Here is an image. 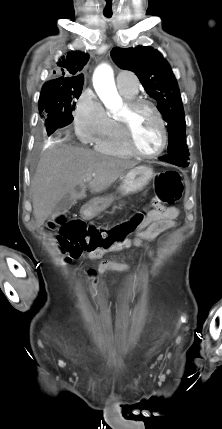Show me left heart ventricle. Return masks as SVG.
Returning a JSON list of instances; mask_svg holds the SVG:
<instances>
[{
  "mask_svg": "<svg viewBox=\"0 0 222 429\" xmlns=\"http://www.w3.org/2000/svg\"><path fill=\"white\" fill-rule=\"evenodd\" d=\"M123 107L119 116L126 113ZM132 132L136 146L144 153L156 152L162 143L161 129L153 112L147 108L139 109L132 117Z\"/></svg>",
  "mask_w": 222,
  "mask_h": 429,
  "instance_id": "left-heart-ventricle-1",
  "label": "left heart ventricle"
}]
</instances>
